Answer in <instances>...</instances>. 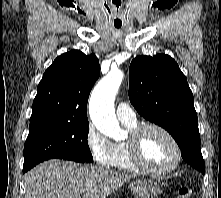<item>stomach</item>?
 Instances as JSON below:
<instances>
[{
    "label": "stomach",
    "instance_id": "0dacf381",
    "mask_svg": "<svg viewBox=\"0 0 221 198\" xmlns=\"http://www.w3.org/2000/svg\"><path fill=\"white\" fill-rule=\"evenodd\" d=\"M129 189L136 198H156L161 193L159 184L152 180L131 182Z\"/></svg>",
    "mask_w": 221,
    "mask_h": 198
}]
</instances>
